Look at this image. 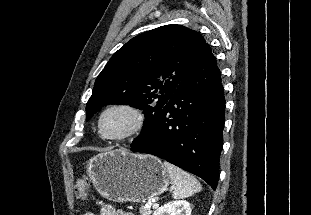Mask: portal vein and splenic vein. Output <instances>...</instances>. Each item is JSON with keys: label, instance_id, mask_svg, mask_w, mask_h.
<instances>
[{"label": "portal vein and splenic vein", "instance_id": "18ae733b", "mask_svg": "<svg viewBox=\"0 0 311 215\" xmlns=\"http://www.w3.org/2000/svg\"><path fill=\"white\" fill-rule=\"evenodd\" d=\"M159 207V204L158 203H154L153 204V208H158Z\"/></svg>", "mask_w": 311, "mask_h": 215}]
</instances>
